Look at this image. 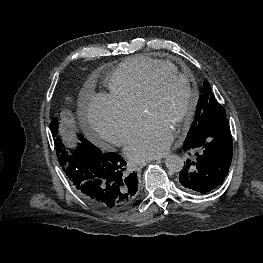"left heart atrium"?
I'll list each match as a JSON object with an SVG mask.
<instances>
[{
  "label": "left heart atrium",
  "mask_w": 263,
  "mask_h": 263,
  "mask_svg": "<svg viewBox=\"0 0 263 263\" xmlns=\"http://www.w3.org/2000/svg\"><path fill=\"white\" fill-rule=\"evenodd\" d=\"M174 138L173 130L162 121L147 117L130 138L127 156L140 163L163 155Z\"/></svg>",
  "instance_id": "left-heart-atrium-1"
}]
</instances>
